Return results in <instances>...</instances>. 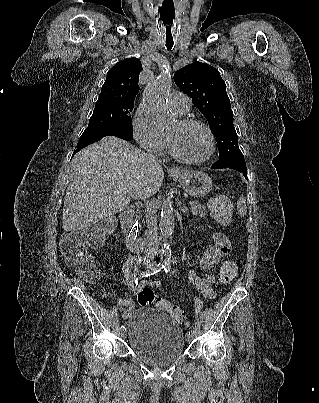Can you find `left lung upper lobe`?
I'll list each match as a JSON object with an SVG mask.
<instances>
[{
  "label": "left lung upper lobe",
  "mask_w": 319,
  "mask_h": 403,
  "mask_svg": "<svg viewBox=\"0 0 319 403\" xmlns=\"http://www.w3.org/2000/svg\"><path fill=\"white\" fill-rule=\"evenodd\" d=\"M174 81L208 120L219 147V159H244L237 144L226 85L218 70L196 61L178 70Z\"/></svg>",
  "instance_id": "5c2ea615"
}]
</instances>
